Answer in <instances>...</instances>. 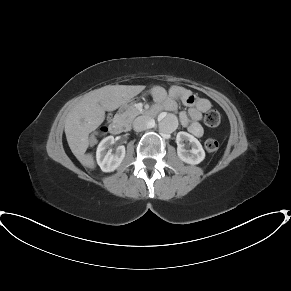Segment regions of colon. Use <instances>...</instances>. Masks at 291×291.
I'll return each instance as SVG.
<instances>
[{
    "label": "colon",
    "mask_w": 291,
    "mask_h": 291,
    "mask_svg": "<svg viewBox=\"0 0 291 291\" xmlns=\"http://www.w3.org/2000/svg\"><path fill=\"white\" fill-rule=\"evenodd\" d=\"M221 122V115L218 111L211 110L205 113L204 123L209 127L218 126ZM205 148L209 153H214L219 149V143L216 139L209 138L205 141Z\"/></svg>",
    "instance_id": "obj_1"
}]
</instances>
